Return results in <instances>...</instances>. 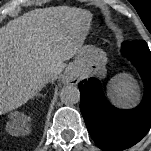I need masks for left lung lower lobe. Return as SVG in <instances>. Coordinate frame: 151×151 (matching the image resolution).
<instances>
[{"label": "left lung lower lobe", "mask_w": 151, "mask_h": 151, "mask_svg": "<svg viewBox=\"0 0 151 151\" xmlns=\"http://www.w3.org/2000/svg\"><path fill=\"white\" fill-rule=\"evenodd\" d=\"M122 55L139 71L144 96L134 109L112 106L104 97L101 83L92 77L79 83L80 111L95 144L105 151H121L138 143L151 128V52L143 40L125 41Z\"/></svg>", "instance_id": "left-lung-lower-lobe-1"}]
</instances>
